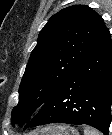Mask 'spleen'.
Listing matches in <instances>:
<instances>
[{
	"label": "spleen",
	"mask_w": 112,
	"mask_h": 135,
	"mask_svg": "<svg viewBox=\"0 0 112 135\" xmlns=\"http://www.w3.org/2000/svg\"><path fill=\"white\" fill-rule=\"evenodd\" d=\"M84 135H101L97 130L90 127L84 128Z\"/></svg>",
	"instance_id": "1"
}]
</instances>
